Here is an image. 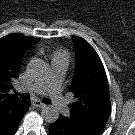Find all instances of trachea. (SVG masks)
<instances>
[{"label": "trachea", "mask_w": 135, "mask_h": 135, "mask_svg": "<svg viewBox=\"0 0 135 135\" xmlns=\"http://www.w3.org/2000/svg\"><path fill=\"white\" fill-rule=\"evenodd\" d=\"M20 97H21V99H23V100H29L30 95L27 94V93H23V94L20 95ZM42 101H43V103H45V104H50V103H51V100H50L49 98H44Z\"/></svg>", "instance_id": "trachea-1"}]
</instances>
